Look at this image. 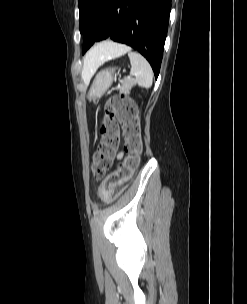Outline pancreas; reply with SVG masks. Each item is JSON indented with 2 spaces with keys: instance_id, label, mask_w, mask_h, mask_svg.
<instances>
[{
  "instance_id": "obj_1",
  "label": "pancreas",
  "mask_w": 247,
  "mask_h": 304,
  "mask_svg": "<svg viewBox=\"0 0 247 304\" xmlns=\"http://www.w3.org/2000/svg\"><path fill=\"white\" fill-rule=\"evenodd\" d=\"M133 85V79H124L122 85L117 87L120 93H128Z\"/></svg>"
}]
</instances>
